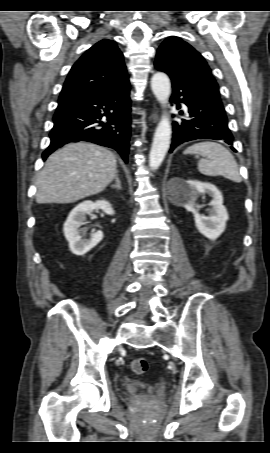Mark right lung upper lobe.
<instances>
[{
  "instance_id": "obj_1",
  "label": "right lung upper lobe",
  "mask_w": 270,
  "mask_h": 453,
  "mask_svg": "<svg viewBox=\"0 0 270 453\" xmlns=\"http://www.w3.org/2000/svg\"><path fill=\"white\" fill-rule=\"evenodd\" d=\"M127 79L123 55L116 43L101 40L73 65L58 101L96 96Z\"/></svg>"
}]
</instances>
